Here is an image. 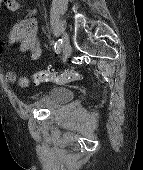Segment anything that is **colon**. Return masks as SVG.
Listing matches in <instances>:
<instances>
[{
    "label": "colon",
    "mask_w": 143,
    "mask_h": 170,
    "mask_svg": "<svg viewBox=\"0 0 143 170\" xmlns=\"http://www.w3.org/2000/svg\"><path fill=\"white\" fill-rule=\"evenodd\" d=\"M8 0H0V5L6 3ZM82 75L80 72L67 69L63 71L43 70L34 74V80L37 83L42 82H54L57 84H63L68 82H74L81 79ZM28 85L26 80L21 81V86L25 87Z\"/></svg>",
    "instance_id": "5ec220e1"
}]
</instances>
